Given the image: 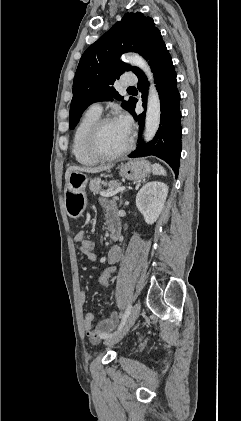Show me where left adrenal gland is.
Masks as SVG:
<instances>
[{
    "instance_id": "obj_1",
    "label": "left adrenal gland",
    "mask_w": 241,
    "mask_h": 421,
    "mask_svg": "<svg viewBox=\"0 0 241 421\" xmlns=\"http://www.w3.org/2000/svg\"><path fill=\"white\" fill-rule=\"evenodd\" d=\"M123 193H124V192H122V193L120 194L119 206H121V205H122V202H123V201H122V195H123Z\"/></svg>"
}]
</instances>
